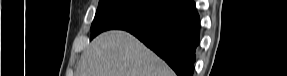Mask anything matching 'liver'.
<instances>
[{"label": "liver", "mask_w": 287, "mask_h": 76, "mask_svg": "<svg viewBox=\"0 0 287 76\" xmlns=\"http://www.w3.org/2000/svg\"><path fill=\"white\" fill-rule=\"evenodd\" d=\"M77 71L78 76H174L138 39L118 30L96 37L82 53Z\"/></svg>", "instance_id": "liver-1"}]
</instances>
